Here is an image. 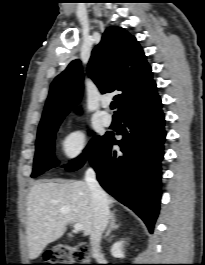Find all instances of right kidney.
Masks as SVG:
<instances>
[{
    "instance_id": "ca27d5eb",
    "label": "right kidney",
    "mask_w": 205,
    "mask_h": 265,
    "mask_svg": "<svg viewBox=\"0 0 205 265\" xmlns=\"http://www.w3.org/2000/svg\"><path fill=\"white\" fill-rule=\"evenodd\" d=\"M123 244H124V241H117L112 245L111 254L113 257H116V258L124 257Z\"/></svg>"
}]
</instances>
